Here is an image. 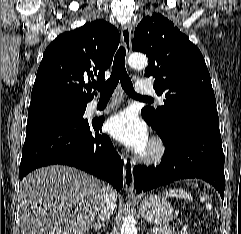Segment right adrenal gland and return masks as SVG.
Here are the masks:
<instances>
[{
	"label": "right adrenal gland",
	"instance_id": "1",
	"mask_svg": "<svg viewBox=\"0 0 241 234\" xmlns=\"http://www.w3.org/2000/svg\"><path fill=\"white\" fill-rule=\"evenodd\" d=\"M102 227H104V223H94L93 225H90V227L88 229H94L95 231H99Z\"/></svg>",
	"mask_w": 241,
	"mask_h": 234
}]
</instances>
